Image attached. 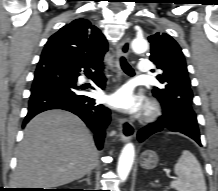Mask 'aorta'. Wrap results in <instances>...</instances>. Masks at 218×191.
<instances>
[{
  "label": "aorta",
  "instance_id": "1",
  "mask_svg": "<svg viewBox=\"0 0 218 191\" xmlns=\"http://www.w3.org/2000/svg\"><path fill=\"white\" fill-rule=\"evenodd\" d=\"M135 53H143L148 49V43L144 38H135L131 43ZM135 157V147L132 143H127L120 154L117 166L118 176L125 181L130 173Z\"/></svg>",
  "mask_w": 218,
  "mask_h": 191
}]
</instances>
